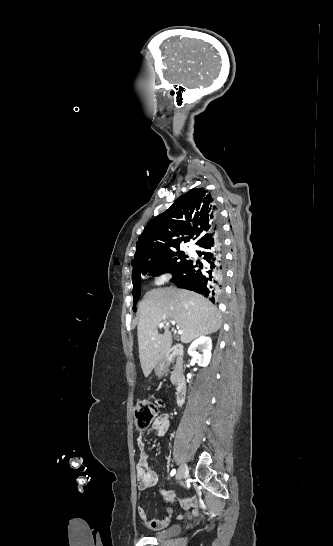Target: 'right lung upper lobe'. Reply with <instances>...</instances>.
I'll return each mask as SVG.
<instances>
[{
	"label": "right lung upper lobe",
	"instance_id": "cb5924a9",
	"mask_svg": "<svg viewBox=\"0 0 333 546\" xmlns=\"http://www.w3.org/2000/svg\"><path fill=\"white\" fill-rule=\"evenodd\" d=\"M215 218V201L206 190L193 188L181 195L144 228L136 243L132 276L156 267L164 254L186 242V237H173L189 235L198 242L214 229Z\"/></svg>",
	"mask_w": 333,
	"mask_h": 546
}]
</instances>
